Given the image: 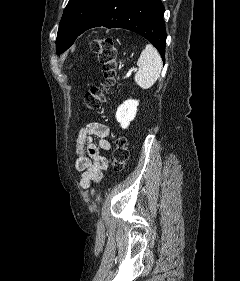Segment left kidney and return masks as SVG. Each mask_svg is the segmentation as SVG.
Instances as JSON below:
<instances>
[{
	"instance_id": "1",
	"label": "left kidney",
	"mask_w": 240,
	"mask_h": 281,
	"mask_svg": "<svg viewBox=\"0 0 240 281\" xmlns=\"http://www.w3.org/2000/svg\"><path fill=\"white\" fill-rule=\"evenodd\" d=\"M138 104L139 102L137 100L129 99L118 107L115 117L123 129H126L130 125V122L134 120Z\"/></svg>"
}]
</instances>
